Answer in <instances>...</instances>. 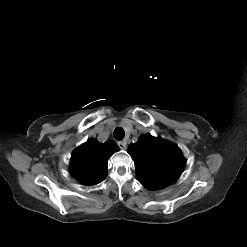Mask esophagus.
<instances>
[{
  "mask_svg": "<svg viewBox=\"0 0 247 247\" xmlns=\"http://www.w3.org/2000/svg\"><path fill=\"white\" fill-rule=\"evenodd\" d=\"M117 145L119 146L120 149H126L127 142L126 141H119V142H117Z\"/></svg>",
  "mask_w": 247,
  "mask_h": 247,
  "instance_id": "1",
  "label": "esophagus"
}]
</instances>
